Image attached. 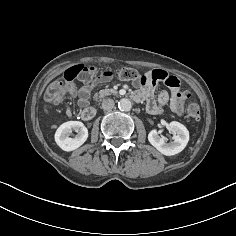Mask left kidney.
Wrapping results in <instances>:
<instances>
[{"mask_svg":"<svg viewBox=\"0 0 236 236\" xmlns=\"http://www.w3.org/2000/svg\"><path fill=\"white\" fill-rule=\"evenodd\" d=\"M168 128L175 133L172 142L166 143V138L160 137L156 130H152L148 134V140L160 153L172 156L180 153L186 147L189 141V131L177 121L170 122Z\"/></svg>","mask_w":236,"mask_h":236,"instance_id":"1","label":"left kidney"}]
</instances>
